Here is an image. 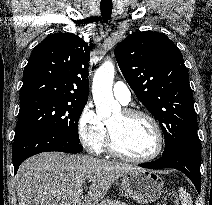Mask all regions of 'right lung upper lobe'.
I'll use <instances>...</instances> for the list:
<instances>
[{"label": "right lung upper lobe", "mask_w": 212, "mask_h": 205, "mask_svg": "<svg viewBox=\"0 0 212 205\" xmlns=\"http://www.w3.org/2000/svg\"><path fill=\"white\" fill-rule=\"evenodd\" d=\"M89 59V47L79 36H48L32 50L24 68L20 100L49 97L87 102Z\"/></svg>", "instance_id": "cb5924a9"}]
</instances>
